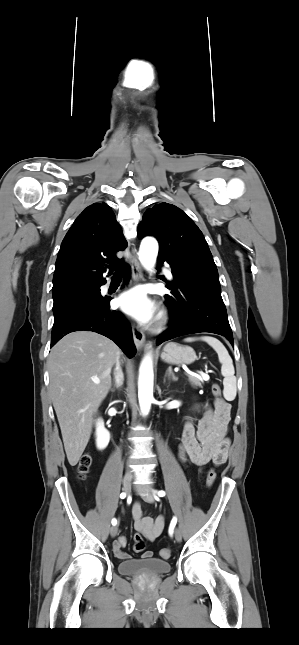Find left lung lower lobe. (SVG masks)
<instances>
[{"label":"left lung lower lobe","instance_id":"0a47b994","mask_svg":"<svg viewBox=\"0 0 299 645\" xmlns=\"http://www.w3.org/2000/svg\"><path fill=\"white\" fill-rule=\"evenodd\" d=\"M164 261L158 260V264ZM174 281L165 295L171 315L170 328L157 339V345L178 336L210 332L226 337L232 345L233 335L228 321L217 271L198 270L185 264L171 265Z\"/></svg>","mask_w":299,"mask_h":645}]
</instances>
